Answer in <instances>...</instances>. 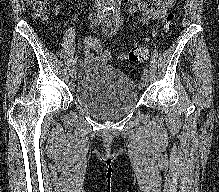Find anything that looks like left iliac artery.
I'll return each mask as SVG.
<instances>
[{"label":"left iliac artery","mask_w":219,"mask_h":192,"mask_svg":"<svg viewBox=\"0 0 219 192\" xmlns=\"http://www.w3.org/2000/svg\"><path fill=\"white\" fill-rule=\"evenodd\" d=\"M113 22H114L116 27H120L121 26L120 5H115V8L113 10ZM143 72L148 74L149 73L148 68L145 67L143 69Z\"/></svg>","instance_id":"obj_1"}]
</instances>
